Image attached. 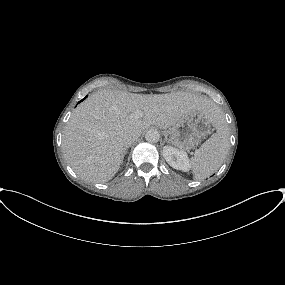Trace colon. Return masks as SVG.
I'll return each instance as SVG.
<instances>
[{"mask_svg":"<svg viewBox=\"0 0 285 285\" xmlns=\"http://www.w3.org/2000/svg\"><path fill=\"white\" fill-rule=\"evenodd\" d=\"M201 128H202L201 126L198 127V129H201Z\"/></svg>","mask_w":285,"mask_h":285,"instance_id":"colon-1","label":"colon"}]
</instances>
